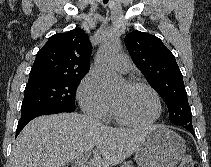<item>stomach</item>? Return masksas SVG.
<instances>
[{"instance_id":"stomach-1","label":"stomach","mask_w":211,"mask_h":167,"mask_svg":"<svg viewBox=\"0 0 211 167\" xmlns=\"http://www.w3.org/2000/svg\"><path fill=\"white\" fill-rule=\"evenodd\" d=\"M186 151L184 140L172 130L155 126L136 151L139 167H175Z\"/></svg>"}]
</instances>
